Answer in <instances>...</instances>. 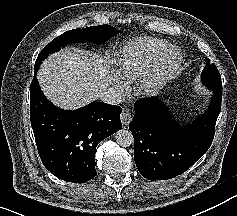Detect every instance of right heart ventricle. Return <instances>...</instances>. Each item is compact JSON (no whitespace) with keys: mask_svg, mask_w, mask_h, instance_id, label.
Listing matches in <instances>:
<instances>
[{"mask_svg":"<svg viewBox=\"0 0 237 216\" xmlns=\"http://www.w3.org/2000/svg\"><path fill=\"white\" fill-rule=\"evenodd\" d=\"M170 43L161 38L143 36L114 51V80L123 85H137Z\"/></svg>","mask_w":237,"mask_h":216,"instance_id":"e07e8e85","label":"right heart ventricle"}]
</instances>
